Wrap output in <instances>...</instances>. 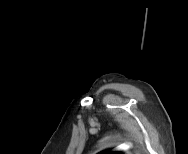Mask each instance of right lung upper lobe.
I'll return each mask as SVG.
<instances>
[{
  "label": "right lung upper lobe",
  "instance_id": "1",
  "mask_svg": "<svg viewBox=\"0 0 188 154\" xmlns=\"http://www.w3.org/2000/svg\"><path fill=\"white\" fill-rule=\"evenodd\" d=\"M104 154H120L119 152H105Z\"/></svg>",
  "mask_w": 188,
  "mask_h": 154
}]
</instances>
